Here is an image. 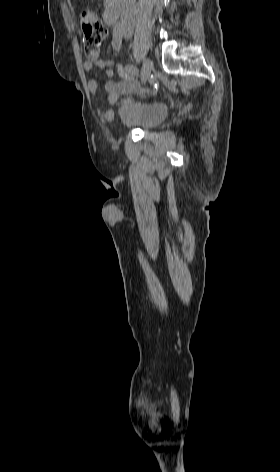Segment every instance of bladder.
<instances>
[{
  "label": "bladder",
  "instance_id": "bladder-1",
  "mask_svg": "<svg viewBox=\"0 0 280 472\" xmlns=\"http://www.w3.org/2000/svg\"><path fill=\"white\" fill-rule=\"evenodd\" d=\"M169 106L161 100L134 99L130 95L120 101L119 123L124 128L150 129L167 117Z\"/></svg>",
  "mask_w": 280,
  "mask_h": 472
}]
</instances>
